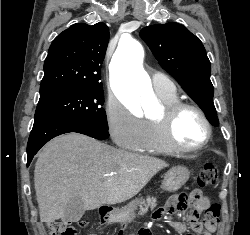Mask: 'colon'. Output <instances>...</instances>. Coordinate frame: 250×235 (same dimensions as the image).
Masks as SVG:
<instances>
[{"label": "colon", "instance_id": "obj_1", "mask_svg": "<svg viewBox=\"0 0 250 235\" xmlns=\"http://www.w3.org/2000/svg\"><path fill=\"white\" fill-rule=\"evenodd\" d=\"M219 180V172L214 164H207L202 167L197 175V186L199 188H206L215 185ZM198 198L196 194L190 196L191 201ZM220 216V206L212 204L208 206L203 215V222L206 225H217ZM46 227L49 235H77L76 228L64 221H49L46 222Z\"/></svg>", "mask_w": 250, "mask_h": 235}]
</instances>
